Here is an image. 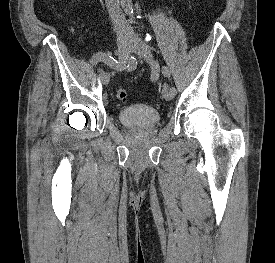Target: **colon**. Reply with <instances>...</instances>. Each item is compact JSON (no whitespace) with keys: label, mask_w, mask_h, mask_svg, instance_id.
<instances>
[{"label":"colon","mask_w":275,"mask_h":263,"mask_svg":"<svg viewBox=\"0 0 275 263\" xmlns=\"http://www.w3.org/2000/svg\"><path fill=\"white\" fill-rule=\"evenodd\" d=\"M116 96L119 100H126L127 97H128V93L125 89L123 88H119L117 91H116Z\"/></svg>","instance_id":"colon-1"}]
</instances>
